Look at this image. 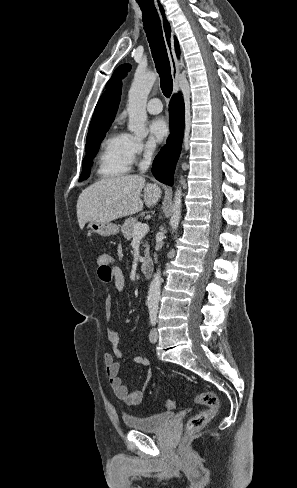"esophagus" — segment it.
<instances>
[{
  "label": "esophagus",
  "mask_w": 297,
  "mask_h": 488,
  "mask_svg": "<svg viewBox=\"0 0 297 488\" xmlns=\"http://www.w3.org/2000/svg\"><path fill=\"white\" fill-rule=\"evenodd\" d=\"M160 20L161 26L163 31V37L170 61L171 72L173 77V91L176 94L179 89V78H180V63L176 57L175 48H174V39H173V29L172 25L167 17L166 9L163 3L160 0H156L155 2Z\"/></svg>",
  "instance_id": "34e87169"
}]
</instances>
